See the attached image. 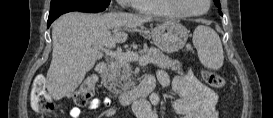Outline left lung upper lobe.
<instances>
[{"mask_svg": "<svg viewBox=\"0 0 273 118\" xmlns=\"http://www.w3.org/2000/svg\"><path fill=\"white\" fill-rule=\"evenodd\" d=\"M214 3L219 9L221 8L220 0H214ZM219 14L222 15V12L220 10H219Z\"/></svg>", "mask_w": 273, "mask_h": 118, "instance_id": "1", "label": "left lung upper lobe"}]
</instances>
